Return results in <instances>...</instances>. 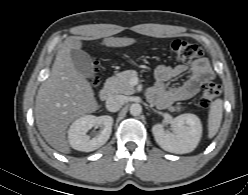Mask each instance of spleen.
Segmentation results:
<instances>
[{
  "instance_id": "3e777b00",
  "label": "spleen",
  "mask_w": 248,
  "mask_h": 195,
  "mask_svg": "<svg viewBox=\"0 0 248 195\" xmlns=\"http://www.w3.org/2000/svg\"><path fill=\"white\" fill-rule=\"evenodd\" d=\"M223 113V101L216 99L211 103L208 117V136L213 138L220 128Z\"/></svg>"
}]
</instances>
